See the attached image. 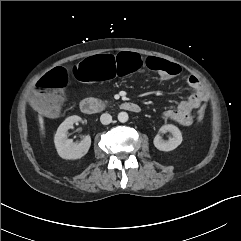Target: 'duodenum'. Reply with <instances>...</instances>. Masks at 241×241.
<instances>
[{"label": "duodenum", "instance_id": "410a0bca", "mask_svg": "<svg viewBox=\"0 0 241 241\" xmlns=\"http://www.w3.org/2000/svg\"><path fill=\"white\" fill-rule=\"evenodd\" d=\"M108 105L103 101H100L96 98H86L81 101L80 109L84 114L93 115L96 113H100L107 109ZM120 107L126 111H130L133 113H138L140 111L139 105L133 102H123L120 104Z\"/></svg>", "mask_w": 241, "mask_h": 241}]
</instances>
